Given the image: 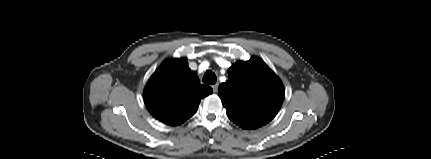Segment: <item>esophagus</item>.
<instances>
[{"mask_svg":"<svg viewBox=\"0 0 431 159\" xmlns=\"http://www.w3.org/2000/svg\"><path fill=\"white\" fill-rule=\"evenodd\" d=\"M213 92L216 93L218 91V83L212 85Z\"/></svg>","mask_w":431,"mask_h":159,"instance_id":"esophagus-1","label":"esophagus"}]
</instances>
